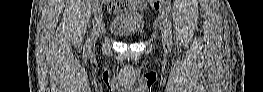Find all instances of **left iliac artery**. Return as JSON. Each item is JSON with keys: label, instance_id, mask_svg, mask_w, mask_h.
I'll return each mask as SVG.
<instances>
[{"label": "left iliac artery", "instance_id": "44dca946", "mask_svg": "<svg viewBox=\"0 0 263 92\" xmlns=\"http://www.w3.org/2000/svg\"><path fill=\"white\" fill-rule=\"evenodd\" d=\"M163 17L162 20L165 21V26H166V31H167V36H168V41L169 45L172 46L173 40H172V31H171V22H170V16L166 15V12H163Z\"/></svg>", "mask_w": 263, "mask_h": 92}]
</instances>
